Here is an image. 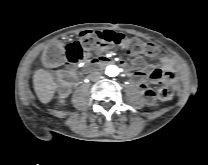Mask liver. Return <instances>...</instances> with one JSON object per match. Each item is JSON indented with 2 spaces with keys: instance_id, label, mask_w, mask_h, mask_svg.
I'll return each instance as SVG.
<instances>
[{
  "instance_id": "obj_1",
  "label": "liver",
  "mask_w": 208,
  "mask_h": 165,
  "mask_svg": "<svg viewBox=\"0 0 208 165\" xmlns=\"http://www.w3.org/2000/svg\"><path fill=\"white\" fill-rule=\"evenodd\" d=\"M33 85L36 95L42 103L46 104L52 100L57 86L47 71L43 69L37 70L34 73Z\"/></svg>"
}]
</instances>
